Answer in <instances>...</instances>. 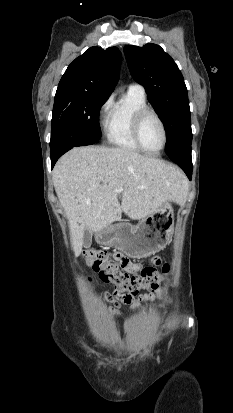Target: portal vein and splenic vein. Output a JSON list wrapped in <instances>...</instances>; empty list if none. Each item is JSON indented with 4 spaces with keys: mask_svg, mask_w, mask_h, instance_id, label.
Segmentation results:
<instances>
[{
    "mask_svg": "<svg viewBox=\"0 0 233 413\" xmlns=\"http://www.w3.org/2000/svg\"><path fill=\"white\" fill-rule=\"evenodd\" d=\"M123 191V187H120L118 190H117V192H122Z\"/></svg>",
    "mask_w": 233,
    "mask_h": 413,
    "instance_id": "portal-vein-and-splenic-vein-1",
    "label": "portal vein and splenic vein"
}]
</instances>
